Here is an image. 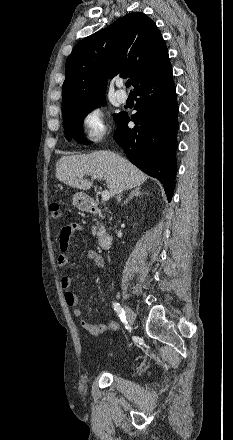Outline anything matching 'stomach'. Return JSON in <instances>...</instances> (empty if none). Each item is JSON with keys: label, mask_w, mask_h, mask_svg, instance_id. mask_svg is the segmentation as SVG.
Segmentation results:
<instances>
[{"label": "stomach", "mask_w": 233, "mask_h": 440, "mask_svg": "<svg viewBox=\"0 0 233 440\" xmlns=\"http://www.w3.org/2000/svg\"><path fill=\"white\" fill-rule=\"evenodd\" d=\"M73 205L79 210L88 211L92 206V201L86 194L78 192L73 197Z\"/></svg>", "instance_id": "0dacf381"}]
</instances>
